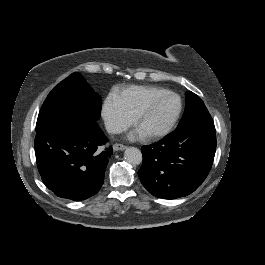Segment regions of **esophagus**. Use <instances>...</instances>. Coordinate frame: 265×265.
Returning <instances> with one entry per match:
<instances>
[{
    "instance_id": "obj_1",
    "label": "esophagus",
    "mask_w": 265,
    "mask_h": 265,
    "mask_svg": "<svg viewBox=\"0 0 265 265\" xmlns=\"http://www.w3.org/2000/svg\"><path fill=\"white\" fill-rule=\"evenodd\" d=\"M113 148H114V150H116V151H121V150H125V149H126V146L123 145V144H121V143H115V144L113 145Z\"/></svg>"
}]
</instances>
